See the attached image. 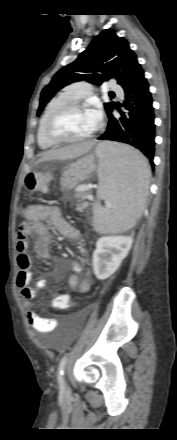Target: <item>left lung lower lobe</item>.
Masks as SVG:
<instances>
[{
  "mask_svg": "<svg viewBox=\"0 0 177 440\" xmlns=\"http://www.w3.org/2000/svg\"><path fill=\"white\" fill-rule=\"evenodd\" d=\"M126 112L115 119L110 113L107 130L98 139L123 142L139 149L154 167L155 124L153 100L144 71L138 70L133 80L124 87ZM118 107V106H117Z\"/></svg>",
  "mask_w": 177,
  "mask_h": 440,
  "instance_id": "0a47b994",
  "label": "left lung lower lobe"
}]
</instances>
